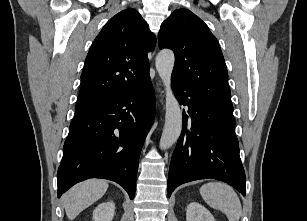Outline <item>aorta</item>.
I'll return each mask as SVG.
<instances>
[{
	"label": "aorta",
	"mask_w": 307,
	"mask_h": 221,
	"mask_svg": "<svg viewBox=\"0 0 307 221\" xmlns=\"http://www.w3.org/2000/svg\"><path fill=\"white\" fill-rule=\"evenodd\" d=\"M175 63L173 51L164 49L156 57V69L163 81L166 93L165 125L160 139V149L171 147L179 138L182 129V112L171 89V75Z\"/></svg>",
	"instance_id": "obj_1"
}]
</instances>
